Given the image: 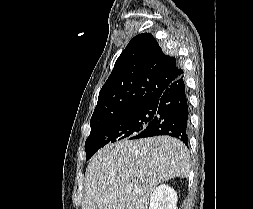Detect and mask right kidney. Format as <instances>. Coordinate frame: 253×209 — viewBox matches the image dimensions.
Here are the masks:
<instances>
[{"label": "right kidney", "instance_id": "1", "mask_svg": "<svg viewBox=\"0 0 253 209\" xmlns=\"http://www.w3.org/2000/svg\"><path fill=\"white\" fill-rule=\"evenodd\" d=\"M176 203V191L170 186L162 184L152 193L149 209H177Z\"/></svg>", "mask_w": 253, "mask_h": 209}]
</instances>
